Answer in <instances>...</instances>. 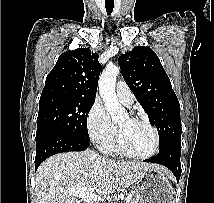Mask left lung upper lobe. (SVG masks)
<instances>
[{"label": "left lung upper lobe", "instance_id": "1", "mask_svg": "<svg viewBox=\"0 0 214 203\" xmlns=\"http://www.w3.org/2000/svg\"><path fill=\"white\" fill-rule=\"evenodd\" d=\"M125 82L158 129L160 147L181 141L180 104L156 53L138 46L120 56Z\"/></svg>", "mask_w": 214, "mask_h": 203}]
</instances>
